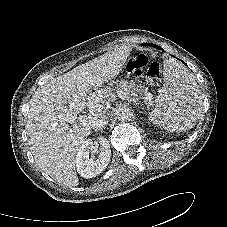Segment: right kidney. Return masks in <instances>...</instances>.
<instances>
[{
    "mask_svg": "<svg viewBox=\"0 0 227 227\" xmlns=\"http://www.w3.org/2000/svg\"><path fill=\"white\" fill-rule=\"evenodd\" d=\"M100 152L98 158L90 157L96 147L92 140L85 141L77 152L75 163L77 172L83 178H93L102 173L109 164L111 150L106 138L100 137Z\"/></svg>",
    "mask_w": 227,
    "mask_h": 227,
    "instance_id": "obj_1",
    "label": "right kidney"
}]
</instances>
